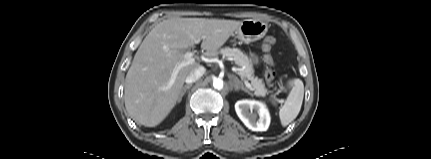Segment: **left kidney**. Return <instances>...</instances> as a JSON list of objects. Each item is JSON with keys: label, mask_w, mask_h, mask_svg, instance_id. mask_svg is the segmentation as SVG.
<instances>
[{"label": "left kidney", "mask_w": 431, "mask_h": 159, "mask_svg": "<svg viewBox=\"0 0 431 159\" xmlns=\"http://www.w3.org/2000/svg\"><path fill=\"white\" fill-rule=\"evenodd\" d=\"M240 120L252 131H266L270 125V115L266 106L255 100H240L235 104Z\"/></svg>", "instance_id": "left-kidney-1"}]
</instances>
